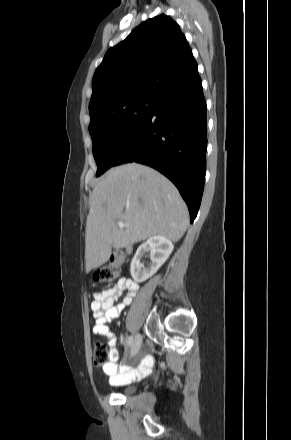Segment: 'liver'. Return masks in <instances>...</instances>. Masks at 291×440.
<instances>
[{"label":"liver","instance_id":"6515ba94","mask_svg":"<svg viewBox=\"0 0 291 440\" xmlns=\"http://www.w3.org/2000/svg\"><path fill=\"white\" fill-rule=\"evenodd\" d=\"M117 221L129 226L119 228ZM188 225L187 206L166 177L136 163L112 168L90 198L86 272L106 263L112 247H126L152 236L177 242Z\"/></svg>","mask_w":291,"mask_h":440}]
</instances>
